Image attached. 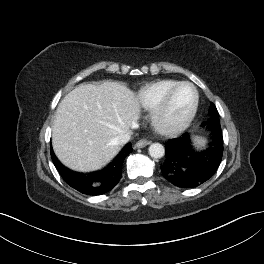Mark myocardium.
<instances>
[{
  "mask_svg": "<svg viewBox=\"0 0 264 264\" xmlns=\"http://www.w3.org/2000/svg\"><path fill=\"white\" fill-rule=\"evenodd\" d=\"M182 86H189L193 91V102L186 116L178 123H168L165 119L168 108L175 92ZM200 103V95L197 87L189 81H181L172 86L161 102L153 109L151 124L155 131L165 136H174L185 131L195 119Z\"/></svg>",
  "mask_w": 264,
  "mask_h": 264,
  "instance_id": "obj_1",
  "label": "myocardium"
}]
</instances>
